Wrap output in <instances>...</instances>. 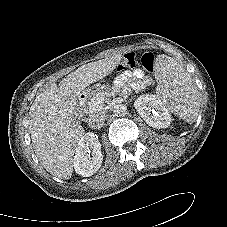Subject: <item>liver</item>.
Returning <instances> with one entry per match:
<instances>
[{
    "instance_id": "liver-1",
    "label": "liver",
    "mask_w": 227,
    "mask_h": 227,
    "mask_svg": "<svg viewBox=\"0 0 227 227\" xmlns=\"http://www.w3.org/2000/svg\"><path fill=\"white\" fill-rule=\"evenodd\" d=\"M123 56L116 54L82 65L59 83L46 87L30 108L29 131L33 149L41 165L60 179H70L73 156L85 135L81 125L72 124L78 109L77 99L90 84L109 75Z\"/></svg>"
}]
</instances>
